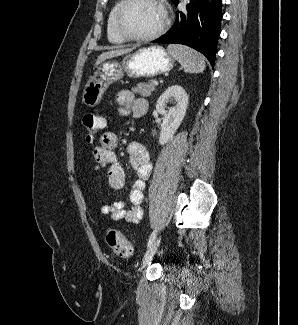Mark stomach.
Here are the masks:
<instances>
[{
    "label": "stomach",
    "mask_w": 298,
    "mask_h": 325,
    "mask_svg": "<svg viewBox=\"0 0 298 325\" xmlns=\"http://www.w3.org/2000/svg\"><path fill=\"white\" fill-rule=\"evenodd\" d=\"M174 66V58L170 56L164 46L152 44L131 50L118 60H107L97 66V70L89 76L82 90V102L88 108L100 104L110 84L118 82L124 76L129 78H152L157 74L169 72Z\"/></svg>",
    "instance_id": "stomach-1"
}]
</instances>
